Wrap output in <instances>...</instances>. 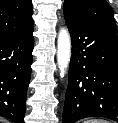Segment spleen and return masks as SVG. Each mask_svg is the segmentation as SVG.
<instances>
[{
    "label": "spleen",
    "instance_id": "obj_1",
    "mask_svg": "<svg viewBox=\"0 0 118 123\" xmlns=\"http://www.w3.org/2000/svg\"><path fill=\"white\" fill-rule=\"evenodd\" d=\"M84 123H109V122L106 120H101V119H90V120L84 121Z\"/></svg>",
    "mask_w": 118,
    "mask_h": 123
}]
</instances>
